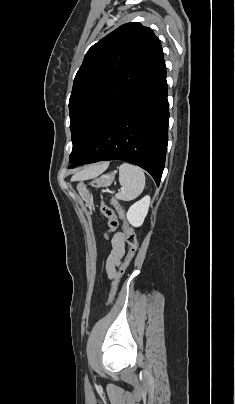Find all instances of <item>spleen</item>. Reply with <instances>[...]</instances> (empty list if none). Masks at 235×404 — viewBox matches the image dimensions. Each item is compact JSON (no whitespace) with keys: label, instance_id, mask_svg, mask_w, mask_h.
<instances>
[{"label":"spleen","instance_id":"3e777b00","mask_svg":"<svg viewBox=\"0 0 235 404\" xmlns=\"http://www.w3.org/2000/svg\"><path fill=\"white\" fill-rule=\"evenodd\" d=\"M119 182L122 186V191L116 194V198L123 201H131L137 198L144 189V171L138 166L123 163L119 167Z\"/></svg>","mask_w":235,"mask_h":404}]
</instances>
